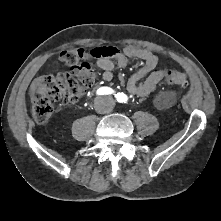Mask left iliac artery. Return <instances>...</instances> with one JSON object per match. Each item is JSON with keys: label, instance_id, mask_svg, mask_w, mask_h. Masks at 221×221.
Segmentation results:
<instances>
[{"label": "left iliac artery", "instance_id": "1", "mask_svg": "<svg viewBox=\"0 0 221 221\" xmlns=\"http://www.w3.org/2000/svg\"><path fill=\"white\" fill-rule=\"evenodd\" d=\"M115 97L118 102H124L126 100V96L123 93H117Z\"/></svg>", "mask_w": 221, "mask_h": 221}]
</instances>
